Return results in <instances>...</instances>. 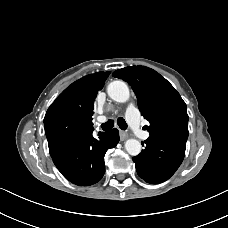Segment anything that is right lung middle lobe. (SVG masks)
Returning <instances> with one entry per match:
<instances>
[{
  "mask_svg": "<svg viewBox=\"0 0 228 228\" xmlns=\"http://www.w3.org/2000/svg\"><path fill=\"white\" fill-rule=\"evenodd\" d=\"M44 126L49 146L83 131L79 120L74 116L66 114L44 118Z\"/></svg>",
  "mask_w": 228,
  "mask_h": 228,
  "instance_id": "1",
  "label": "right lung middle lobe"
}]
</instances>
